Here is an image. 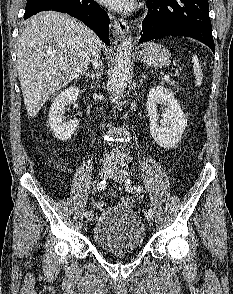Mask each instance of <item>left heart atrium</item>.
Instances as JSON below:
<instances>
[{"mask_svg": "<svg viewBox=\"0 0 233 294\" xmlns=\"http://www.w3.org/2000/svg\"><path fill=\"white\" fill-rule=\"evenodd\" d=\"M99 2L117 11H130L135 7V0H99Z\"/></svg>", "mask_w": 233, "mask_h": 294, "instance_id": "left-heart-atrium-1", "label": "left heart atrium"}]
</instances>
